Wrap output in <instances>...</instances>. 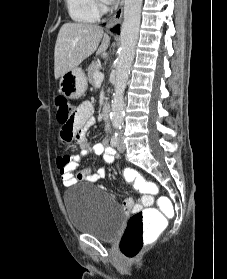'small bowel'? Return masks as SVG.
<instances>
[{
    "label": "small bowel",
    "mask_w": 227,
    "mask_h": 279,
    "mask_svg": "<svg viewBox=\"0 0 227 279\" xmlns=\"http://www.w3.org/2000/svg\"><path fill=\"white\" fill-rule=\"evenodd\" d=\"M93 104L86 101L81 104L78 112L75 116L74 126L79 130H73L69 137H72L79 147L81 152L76 155L61 156L56 161V168L61 176L62 183L65 187H70L78 182H96L105 176V168H100L96 173L93 172L92 167L87 166L77 174L75 170L79 164L83 161L86 155L96 154L103 155L104 163L106 165L111 164L117 158V153L114 149L107 146L109 143V137H105L103 142L91 144L86 138V130L95 123L93 117ZM110 127L106 126L105 131L110 132ZM132 168H124L122 170L123 175L126 177L127 172L133 171ZM153 198L151 196H145L142 199L135 197H129L125 199L123 205L125 210L137 211L144 206L151 205Z\"/></svg>",
    "instance_id": "c3829d8e"
}]
</instances>
